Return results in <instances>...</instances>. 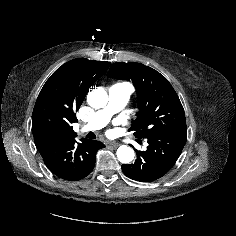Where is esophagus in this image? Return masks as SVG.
<instances>
[{
	"instance_id": "1",
	"label": "esophagus",
	"mask_w": 236,
	"mask_h": 236,
	"mask_svg": "<svg viewBox=\"0 0 236 236\" xmlns=\"http://www.w3.org/2000/svg\"><path fill=\"white\" fill-rule=\"evenodd\" d=\"M108 145L116 148V147L119 146V143H117V142H109Z\"/></svg>"
}]
</instances>
